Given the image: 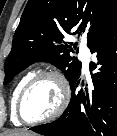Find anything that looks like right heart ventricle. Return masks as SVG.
<instances>
[{"label": "right heart ventricle", "mask_w": 117, "mask_h": 136, "mask_svg": "<svg viewBox=\"0 0 117 136\" xmlns=\"http://www.w3.org/2000/svg\"><path fill=\"white\" fill-rule=\"evenodd\" d=\"M33 75H34L33 72H28L23 77H21L19 81L16 83L12 91L11 101H10L11 120L16 125H20V120L16 117V114H15V108H16V103H17L19 93L24 87V85L33 77Z\"/></svg>", "instance_id": "1"}]
</instances>
